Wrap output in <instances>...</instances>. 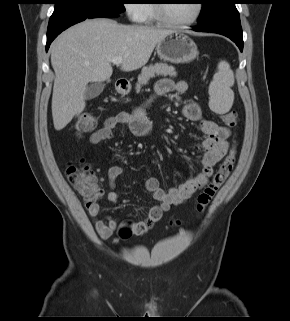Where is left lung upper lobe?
<instances>
[{"mask_svg": "<svg viewBox=\"0 0 290 321\" xmlns=\"http://www.w3.org/2000/svg\"><path fill=\"white\" fill-rule=\"evenodd\" d=\"M202 10L198 24L209 22L235 7L238 0H200Z\"/></svg>", "mask_w": 290, "mask_h": 321, "instance_id": "obj_1", "label": "left lung upper lobe"}]
</instances>
